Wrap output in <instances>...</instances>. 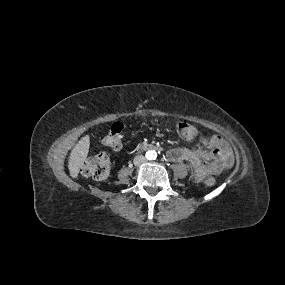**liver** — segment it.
Returning <instances> with one entry per match:
<instances>
[{
	"label": "liver",
	"mask_w": 285,
	"mask_h": 285,
	"mask_svg": "<svg viewBox=\"0 0 285 285\" xmlns=\"http://www.w3.org/2000/svg\"><path fill=\"white\" fill-rule=\"evenodd\" d=\"M90 146V138L88 135L82 137L74 146L70 153L68 161V169L72 178H77L80 168L86 161Z\"/></svg>",
	"instance_id": "liver-1"
}]
</instances>
